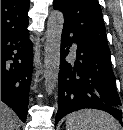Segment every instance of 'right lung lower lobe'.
Masks as SVG:
<instances>
[{"mask_svg": "<svg viewBox=\"0 0 123 130\" xmlns=\"http://www.w3.org/2000/svg\"><path fill=\"white\" fill-rule=\"evenodd\" d=\"M27 29L1 34V101L25 122L32 74V43Z\"/></svg>", "mask_w": 123, "mask_h": 130, "instance_id": "98d812e1", "label": "right lung lower lobe"}]
</instances>
